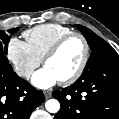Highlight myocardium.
<instances>
[{
  "instance_id": "myocardium-1",
  "label": "myocardium",
  "mask_w": 119,
  "mask_h": 119,
  "mask_svg": "<svg viewBox=\"0 0 119 119\" xmlns=\"http://www.w3.org/2000/svg\"><path fill=\"white\" fill-rule=\"evenodd\" d=\"M73 38H79L84 46V55H83V59L79 65V67L77 68V70L72 73L70 76H68L65 79L59 80V82L63 85H69L74 83L84 72L89 58H90V45L87 41V39L85 38L84 35H82L81 33H77V32H73L70 33L68 35H65L64 37H62L61 39H59L49 50L48 52L45 54L44 58H43V64L46 65L47 61L50 60L51 58H53L54 56H56L59 51L62 49V47L71 39Z\"/></svg>"
}]
</instances>
